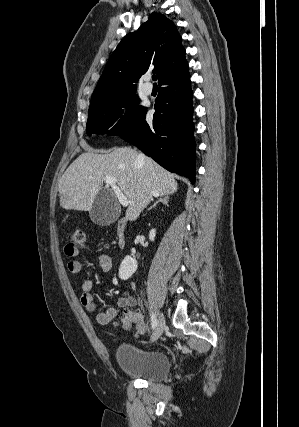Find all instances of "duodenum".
I'll list each match as a JSON object with an SVG mask.
<instances>
[{
  "instance_id": "410a0bca",
  "label": "duodenum",
  "mask_w": 299,
  "mask_h": 427,
  "mask_svg": "<svg viewBox=\"0 0 299 427\" xmlns=\"http://www.w3.org/2000/svg\"><path fill=\"white\" fill-rule=\"evenodd\" d=\"M127 240V222L121 220L117 225V243L120 248H123Z\"/></svg>"
}]
</instances>
